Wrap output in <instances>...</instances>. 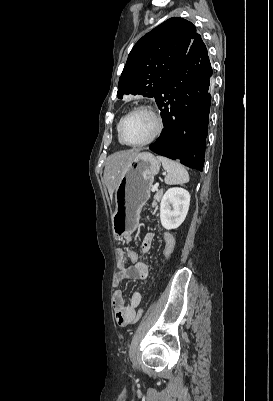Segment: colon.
<instances>
[{
  "label": "colon",
  "instance_id": "obj_1",
  "mask_svg": "<svg viewBox=\"0 0 273 401\" xmlns=\"http://www.w3.org/2000/svg\"><path fill=\"white\" fill-rule=\"evenodd\" d=\"M139 279H140V281L145 282V281H147L148 276H147V274L142 273V274H140Z\"/></svg>",
  "mask_w": 273,
  "mask_h": 401
}]
</instances>
